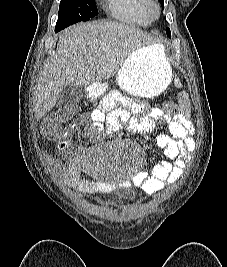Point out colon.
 I'll return each instance as SVG.
<instances>
[{"mask_svg":"<svg viewBox=\"0 0 227 267\" xmlns=\"http://www.w3.org/2000/svg\"><path fill=\"white\" fill-rule=\"evenodd\" d=\"M162 104L165 105V109L170 113L177 111V107L173 104L172 100H163ZM76 113L77 109L73 108L66 112L48 114L40 124L41 136L47 140H57L59 144L62 140L66 122Z\"/></svg>","mask_w":227,"mask_h":267,"instance_id":"5ec220e1","label":"colon"}]
</instances>
